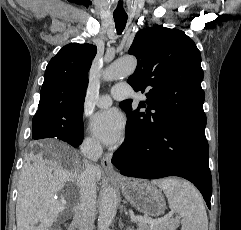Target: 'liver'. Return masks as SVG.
Instances as JSON below:
<instances>
[{
  "label": "liver",
  "mask_w": 241,
  "mask_h": 230,
  "mask_svg": "<svg viewBox=\"0 0 241 230\" xmlns=\"http://www.w3.org/2000/svg\"><path fill=\"white\" fill-rule=\"evenodd\" d=\"M40 145L44 149L42 152L25 156L16 203L17 230H46L52 225L67 204V201L55 199L65 183L75 184L74 201L78 202L80 195L79 176L85 161L63 143ZM93 172L100 180V169L93 166Z\"/></svg>",
  "instance_id": "liver-1"
}]
</instances>
